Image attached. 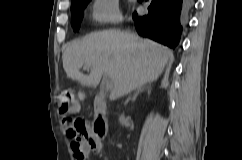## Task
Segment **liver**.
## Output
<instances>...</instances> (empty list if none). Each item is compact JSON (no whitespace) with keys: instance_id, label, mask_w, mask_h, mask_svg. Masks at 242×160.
I'll return each instance as SVG.
<instances>
[{"instance_id":"6515ba94","label":"liver","mask_w":242,"mask_h":160,"mask_svg":"<svg viewBox=\"0 0 242 160\" xmlns=\"http://www.w3.org/2000/svg\"><path fill=\"white\" fill-rule=\"evenodd\" d=\"M172 56L167 47L135 34L104 31L72 42L62 60L67 77L82 85L97 87L107 75L113 83L110 100H115L157 80ZM83 65L90 66L88 75L80 72Z\"/></svg>"}]
</instances>
